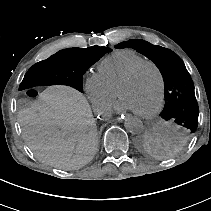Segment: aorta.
I'll return each instance as SVG.
<instances>
[{"label": "aorta", "mask_w": 211, "mask_h": 211, "mask_svg": "<svg viewBox=\"0 0 211 211\" xmlns=\"http://www.w3.org/2000/svg\"><path fill=\"white\" fill-rule=\"evenodd\" d=\"M125 128L132 134H140L144 125L143 122L137 117H128L124 122Z\"/></svg>", "instance_id": "obj_1"}]
</instances>
